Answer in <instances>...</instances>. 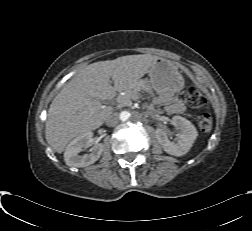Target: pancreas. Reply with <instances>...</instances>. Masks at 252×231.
Segmentation results:
<instances>
[{
  "mask_svg": "<svg viewBox=\"0 0 252 231\" xmlns=\"http://www.w3.org/2000/svg\"><path fill=\"white\" fill-rule=\"evenodd\" d=\"M131 104V97L129 95L118 97V107L129 106Z\"/></svg>",
  "mask_w": 252,
  "mask_h": 231,
  "instance_id": "cf45deb5",
  "label": "pancreas"
}]
</instances>
